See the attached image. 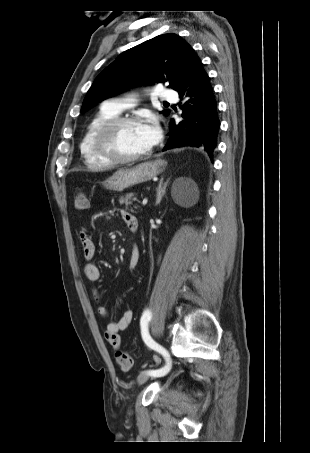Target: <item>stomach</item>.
<instances>
[{
    "instance_id": "obj_1",
    "label": "stomach",
    "mask_w": 310,
    "mask_h": 453,
    "mask_svg": "<svg viewBox=\"0 0 310 453\" xmlns=\"http://www.w3.org/2000/svg\"><path fill=\"white\" fill-rule=\"evenodd\" d=\"M167 162L161 159L140 163L132 168L116 171L103 185L113 191H123L126 188L147 182L160 174Z\"/></svg>"
}]
</instances>
